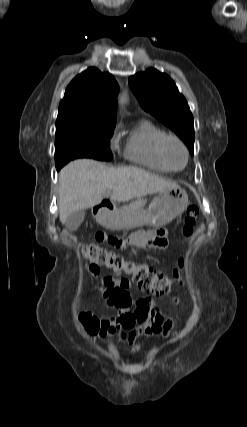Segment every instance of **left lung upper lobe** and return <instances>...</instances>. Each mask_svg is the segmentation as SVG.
<instances>
[{"label": "left lung upper lobe", "mask_w": 247, "mask_h": 427, "mask_svg": "<svg viewBox=\"0 0 247 427\" xmlns=\"http://www.w3.org/2000/svg\"><path fill=\"white\" fill-rule=\"evenodd\" d=\"M129 83L141 107L171 128L193 155V116L174 81L168 75L149 68L130 77Z\"/></svg>", "instance_id": "left-lung-upper-lobe-1"}]
</instances>
